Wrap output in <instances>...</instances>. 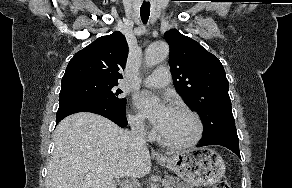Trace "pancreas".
Returning <instances> with one entry per match:
<instances>
[{
	"label": "pancreas",
	"mask_w": 292,
	"mask_h": 188,
	"mask_svg": "<svg viewBox=\"0 0 292 188\" xmlns=\"http://www.w3.org/2000/svg\"><path fill=\"white\" fill-rule=\"evenodd\" d=\"M168 184L171 185L170 188H192L189 184L181 182L175 177H168Z\"/></svg>",
	"instance_id": "cf45deb5"
}]
</instances>
